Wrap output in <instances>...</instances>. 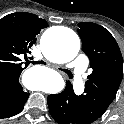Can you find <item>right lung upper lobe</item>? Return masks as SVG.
Listing matches in <instances>:
<instances>
[{
	"instance_id": "1",
	"label": "right lung upper lobe",
	"mask_w": 124,
	"mask_h": 124,
	"mask_svg": "<svg viewBox=\"0 0 124 124\" xmlns=\"http://www.w3.org/2000/svg\"><path fill=\"white\" fill-rule=\"evenodd\" d=\"M45 27V20L27 12L12 13L0 20V84L19 79L27 67L22 66L19 56L27 59L36 35Z\"/></svg>"
}]
</instances>
